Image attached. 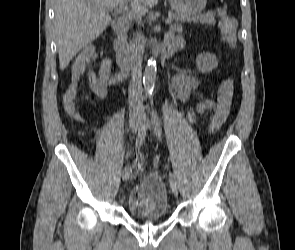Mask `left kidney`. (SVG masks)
Returning a JSON list of instances; mask_svg holds the SVG:
<instances>
[{
	"instance_id": "5707ae66",
	"label": "left kidney",
	"mask_w": 295,
	"mask_h": 250,
	"mask_svg": "<svg viewBox=\"0 0 295 250\" xmlns=\"http://www.w3.org/2000/svg\"><path fill=\"white\" fill-rule=\"evenodd\" d=\"M197 68L201 72H210L218 65L217 57L210 53L199 54L196 58Z\"/></svg>"
}]
</instances>
